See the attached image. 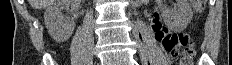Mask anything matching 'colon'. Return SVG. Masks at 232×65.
<instances>
[{"label": "colon", "instance_id": "colon-1", "mask_svg": "<svg viewBox=\"0 0 232 65\" xmlns=\"http://www.w3.org/2000/svg\"><path fill=\"white\" fill-rule=\"evenodd\" d=\"M206 0H193V5L196 11L201 12L204 8ZM164 50L171 56L177 55V53L184 48V55L180 60V65H192L194 58V49L189 41V38L185 34H176L168 32L162 41Z\"/></svg>", "mask_w": 232, "mask_h": 65}]
</instances>
